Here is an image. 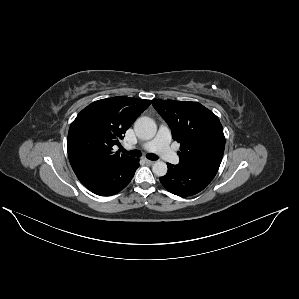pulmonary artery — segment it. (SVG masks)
<instances>
[{"label": "pulmonary artery", "instance_id": "pulmonary-artery-1", "mask_svg": "<svg viewBox=\"0 0 299 299\" xmlns=\"http://www.w3.org/2000/svg\"><path fill=\"white\" fill-rule=\"evenodd\" d=\"M171 132L167 126H161L157 136L142 145V148L148 152H154L160 155L165 161L178 164L179 157L173 153L170 148Z\"/></svg>", "mask_w": 299, "mask_h": 299}]
</instances>
